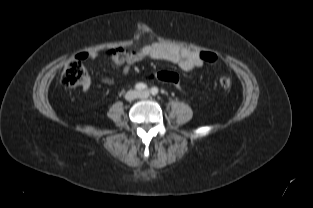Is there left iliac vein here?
Wrapping results in <instances>:
<instances>
[{"instance_id":"obj_1","label":"left iliac vein","mask_w":313,"mask_h":208,"mask_svg":"<svg viewBox=\"0 0 313 208\" xmlns=\"http://www.w3.org/2000/svg\"><path fill=\"white\" fill-rule=\"evenodd\" d=\"M150 95L148 90L138 92V97L141 99H147Z\"/></svg>"}]
</instances>
